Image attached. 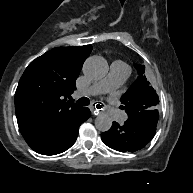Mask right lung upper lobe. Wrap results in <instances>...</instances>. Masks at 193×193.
<instances>
[{
	"label": "right lung upper lobe",
	"mask_w": 193,
	"mask_h": 193,
	"mask_svg": "<svg viewBox=\"0 0 193 193\" xmlns=\"http://www.w3.org/2000/svg\"><path fill=\"white\" fill-rule=\"evenodd\" d=\"M92 50L91 45L58 47L32 61L15 93L19 129L30 147L59 138L85 107L67 101Z\"/></svg>",
	"instance_id": "cb5924a9"
}]
</instances>
